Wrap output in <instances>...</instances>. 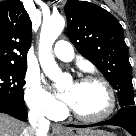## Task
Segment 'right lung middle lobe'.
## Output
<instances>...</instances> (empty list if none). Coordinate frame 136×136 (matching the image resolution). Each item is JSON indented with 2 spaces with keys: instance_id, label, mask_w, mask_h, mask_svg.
I'll list each match as a JSON object with an SVG mask.
<instances>
[{
  "instance_id": "right-lung-middle-lobe-1",
  "label": "right lung middle lobe",
  "mask_w": 136,
  "mask_h": 136,
  "mask_svg": "<svg viewBox=\"0 0 136 136\" xmlns=\"http://www.w3.org/2000/svg\"><path fill=\"white\" fill-rule=\"evenodd\" d=\"M25 65H0V104L24 105Z\"/></svg>"
}]
</instances>
